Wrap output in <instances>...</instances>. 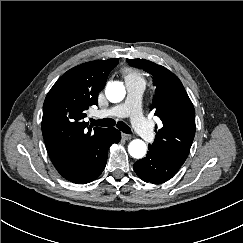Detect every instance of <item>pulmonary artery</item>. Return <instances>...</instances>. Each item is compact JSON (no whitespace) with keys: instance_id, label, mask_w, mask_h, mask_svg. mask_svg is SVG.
I'll return each mask as SVG.
<instances>
[{"instance_id":"pulmonary-artery-1","label":"pulmonary artery","mask_w":243,"mask_h":243,"mask_svg":"<svg viewBox=\"0 0 243 243\" xmlns=\"http://www.w3.org/2000/svg\"><path fill=\"white\" fill-rule=\"evenodd\" d=\"M127 97L125 102L107 110L97 111L95 116L98 118L116 116L130 117L131 122L137 133L147 142L154 139V132L148 121L141 113V96L144 90V83L140 81L126 82Z\"/></svg>"}]
</instances>
